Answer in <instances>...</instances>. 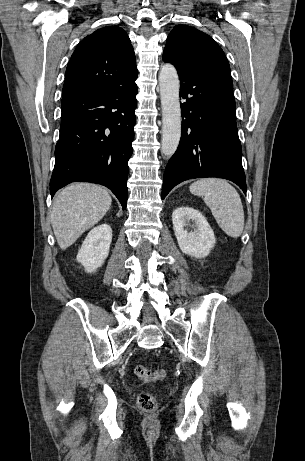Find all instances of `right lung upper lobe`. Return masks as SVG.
Segmentation results:
<instances>
[{
    "mask_svg": "<svg viewBox=\"0 0 305 461\" xmlns=\"http://www.w3.org/2000/svg\"><path fill=\"white\" fill-rule=\"evenodd\" d=\"M130 39L118 26L101 28L85 37L68 63L63 98L106 91L137 78Z\"/></svg>",
    "mask_w": 305,
    "mask_h": 461,
    "instance_id": "right-lung-upper-lobe-1",
    "label": "right lung upper lobe"
}]
</instances>
